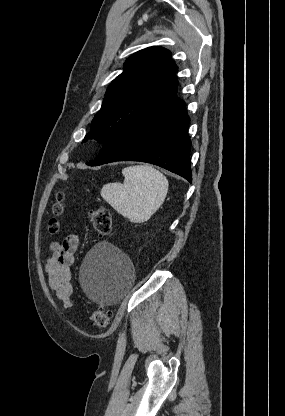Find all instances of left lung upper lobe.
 Returning a JSON list of instances; mask_svg holds the SVG:
<instances>
[{
	"label": "left lung upper lobe",
	"mask_w": 285,
	"mask_h": 416,
	"mask_svg": "<svg viewBox=\"0 0 285 416\" xmlns=\"http://www.w3.org/2000/svg\"><path fill=\"white\" fill-rule=\"evenodd\" d=\"M177 66L161 47L140 50L127 59L124 71L109 85L88 138L107 142L124 126L176 99Z\"/></svg>",
	"instance_id": "1"
}]
</instances>
